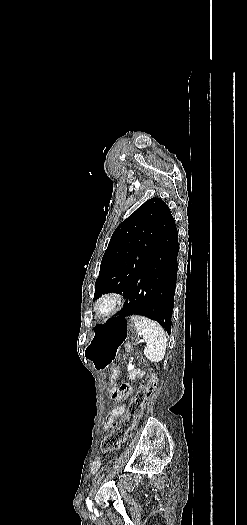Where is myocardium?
<instances>
[{
    "label": "myocardium",
    "mask_w": 247,
    "mask_h": 525,
    "mask_svg": "<svg viewBox=\"0 0 247 525\" xmlns=\"http://www.w3.org/2000/svg\"><path fill=\"white\" fill-rule=\"evenodd\" d=\"M123 302V295L116 290L101 293L94 303L96 314L105 316L116 312Z\"/></svg>",
    "instance_id": "myocardium-1"
}]
</instances>
